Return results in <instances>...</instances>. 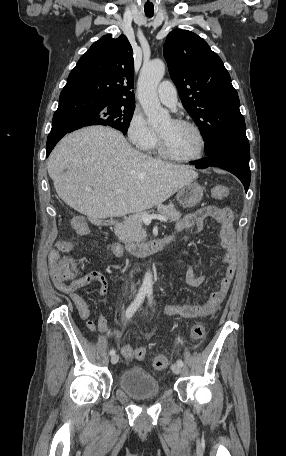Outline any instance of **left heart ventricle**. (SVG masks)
<instances>
[{
	"label": "left heart ventricle",
	"instance_id": "left-heart-ventricle-1",
	"mask_svg": "<svg viewBox=\"0 0 286 456\" xmlns=\"http://www.w3.org/2000/svg\"><path fill=\"white\" fill-rule=\"evenodd\" d=\"M157 132L162 136L167 150L177 157H192L200 150L198 135L190 127L168 120L157 129Z\"/></svg>",
	"mask_w": 286,
	"mask_h": 456
}]
</instances>
